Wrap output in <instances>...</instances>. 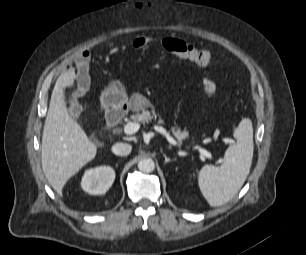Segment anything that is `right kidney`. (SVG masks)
<instances>
[{"label":"right kidney","mask_w":306,"mask_h":255,"mask_svg":"<svg viewBox=\"0 0 306 255\" xmlns=\"http://www.w3.org/2000/svg\"><path fill=\"white\" fill-rule=\"evenodd\" d=\"M115 171L109 166H100L87 170L81 181L82 189L92 195H101L111 187Z\"/></svg>","instance_id":"obj_1"}]
</instances>
